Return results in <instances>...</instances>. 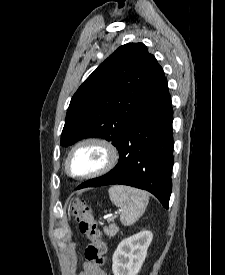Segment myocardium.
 I'll use <instances>...</instances> for the list:
<instances>
[{
	"label": "myocardium",
	"instance_id": "obj_1",
	"mask_svg": "<svg viewBox=\"0 0 225 275\" xmlns=\"http://www.w3.org/2000/svg\"><path fill=\"white\" fill-rule=\"evenodd\" d=\"M87 146H93L103 152V163L96 169L83 174H75L70 167V161L73 154L79 149ZM118 161V151L116 147L109 141L99 138H86L77 142L67 154L65 159V170L67 174L73 178L90 179L103 175L114 168Z\"/></svg>",
	"mask_w": 225,
	"mask_h": 275
}]
</instances>
